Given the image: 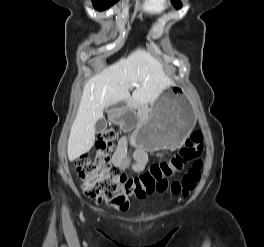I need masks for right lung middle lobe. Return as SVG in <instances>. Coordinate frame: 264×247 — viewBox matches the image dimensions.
<instances>
[{
    "instance_id": "right-lung-middle-lobe-1",
    "label": "right lung middle lobe",
    "mask_w": 264,
    "mask_h": 247,
    "mask_svg": "<svg viewBox=\"0 0 264 247\" xmlns=\"http://www.w3.org/2000/svg\"><path fill=\"white\" fill-rule=\"evenodd\" d=\"M118 0H92L93 6L99 10L103 11L111 7Z\"/></svg>"
}]
</instances>
